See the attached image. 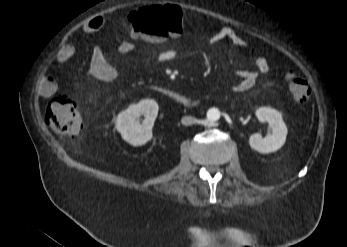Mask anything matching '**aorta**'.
<instances>
[{"label": "aorta", "mask_w": 347, "mask_h": 247, "mask_svg": "<svg viewBox=\"0 0 347 247\" xmlns=\"http://www.w3.org/2000/svg\"><path fill=\"white\" fill-rule=\"evenodd\" d=\"M220 118V111L215 108H211L207 112V119L209 122H216Z\"/></svg>", "instance_id": "1"}]
</instances>
